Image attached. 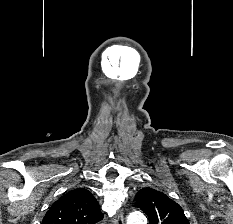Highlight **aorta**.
<instances>
[{
  "label": "aorta",
  "mask_w": 233,
  "mask_h": 224,
  "mask_svg": "<svg viewBox=\"0 0 233 224\" xmlns=\"http://www.w3.org/2000/svg\"><path fill=\"white\" fill-rule=\"evenodd\" d=\"M127 224H146V218L141 212H133L129 214Z\"/></svg>",
  "instance_id": "1"
}]
</instances>
